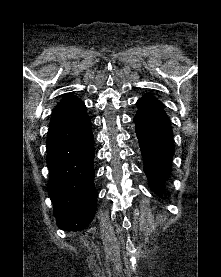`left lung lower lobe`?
I'll list each match as a JSON object with an SVG mask.
<instances>
[{"label":"left lung lower lobe","instance_id":"obj_1","mask_svg":"<svg viewBox=\"0 0 221 277\" xmlns=\"http://www.w3.org/2000/svg\"><path fill=\"white\" fill-rule=\"evenodd\" d=\"M134 117L136 134L144 158V172L150 187L161 193L171 174L173 133L163 104L151 94L140 98Z\"/></svg>","mask_w":221,"mask_h":277}]
</instances>
